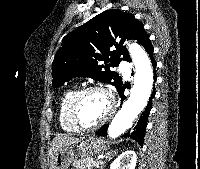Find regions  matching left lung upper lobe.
Instances as JSON below:
<instances>
[{
  "label": "left lung upper lobe",
  "instance_id": "5c2ea615",
  "mask_svg": "<svg viewBox=\"0 0 200 169\" xmlns=\"http://www.w3.org/2000/svg\"><path fill=\"white\" fill-rule=\"evenodd\" d=\"M126 39L137 40L145 49L150 43L142 24L132 14L118 9L104 11L68 33L52 64L53 87L74 77H90L112 84L118 90L122 79L110 68L118 66L121 60L131 62L123 46Z\"/></svg>",
  "mask_w": 200,
  "mask_h": 169
}]
</instances>
